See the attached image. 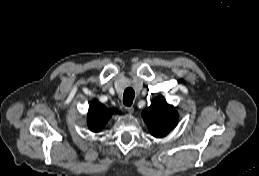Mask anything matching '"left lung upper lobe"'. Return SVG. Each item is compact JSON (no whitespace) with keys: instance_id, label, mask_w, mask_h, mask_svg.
<instances>
[{"instance_id":"left-lung-upper-lobe-1","label":"left lung upper lobe","mask_w":259,"mask_h":176,"mask_svg":"<svg viewBox=\"0 0 259 176\" xmlns=\"http://www.w3.org/2000/svg\"><path fill=\"white\" fill-rule=\"evenodd\" d=\"M150 133L155 137L166 136L177 124V113L163 96L155 98L142 113Z\"/></svg>"}]
</instances>
